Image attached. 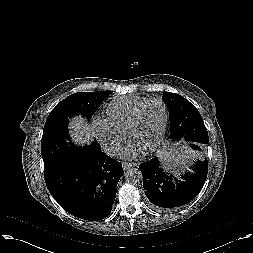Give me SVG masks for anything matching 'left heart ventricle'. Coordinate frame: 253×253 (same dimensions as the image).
<instances>
[{
	"instance_id": "b2bd125f",
	"label": "left heart ventricle",
	"mask_w": 253,
	"mask_h": 253,
	"mask_svg": "<svg viewBox=\"0 0 253 253\" xmlns=\"http://www.w3.org/2000/svg\"><path fill=\"white\" fill-rule=\"evenodd\" d=\"M164 122V108L160 102H152L142 111L129 139L143 149L151 146L158 138Z\"/></svg>"
}]
</instances>
